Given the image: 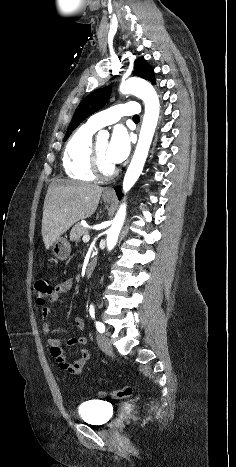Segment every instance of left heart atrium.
<instances>
[{
  "label": "left heart atrium",
  "mask_w": 236,
  "mask_h": 467,
  "mask_svg": "<svg viewBox=\"0 0 236 467\" xmlns=\"http://www.w3.org/2000/svg\"><path fill=\"white\" fill-rule=\"evenodd\" d=\"M131 139L123 126H116L108 144L107 156L113 164L124 161L130 153Z\"/></svg>",
  "instance_id": "39dd6f15"
}]
</instances>
